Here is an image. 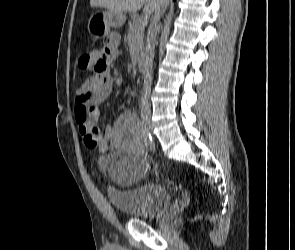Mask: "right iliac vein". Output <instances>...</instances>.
Masks as SVG:
<instances>
[{"label": "right iliac vein", "mask_w": 295, "mask_h": 250, "mask_svg": "<svg viewBox=\"0 0 295 250\" xmlns=\"http://www.w3.org/2000/svg\"><path fill=\"white\" fill-rule=\"evenodd\" d=\"M144 123H145V126L147 127V129H150V123L147 118L144 119Z\"/></svg>", "instance_id": "1"}]
</instances>
